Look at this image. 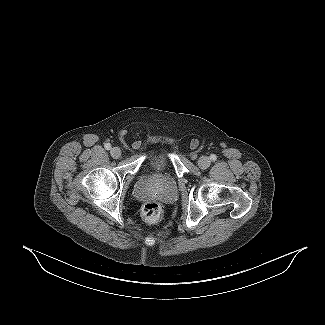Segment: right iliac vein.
I'll return each mask as SVG.
<instances>
[{
  "label": "right iliac vein",
  "instance_id": "right-iliac-vein-1",
  "mask_svg": "<svg viewBox=\"0 0 325 325\" xmlns=\"http://www.w3.org/2000/svg\"><path fill=\"white\" fill-rule=\"evenodd\" d=\"M111 156L115 159L119 158L121 156V150L118 147H113L110 151Z\"/></svg>",
  "mask_w": 325,
  "mask_h": 325
}]
</instances>
